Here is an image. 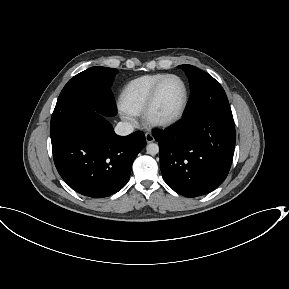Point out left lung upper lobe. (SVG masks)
<instances>
[{
	"instance_id": "obj_1",
	"label": "left lung upper lobe",
	"mask_w": 289,
	"mask_h": 289,
	"mask_svg": "<svg viewBox=\"0 0 289 289\" xmlns=\"http://www.w3.org/2000/svg\"><path fill=\"white\" fill-rule=\"evenodd\" d=\"M179 67L186 72L191 86V97L184 119L200 113L233 117L222 86L212 76L192 65L185 64Z\"/></svg>"
}]
</instances>
